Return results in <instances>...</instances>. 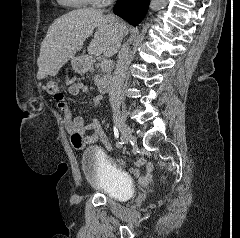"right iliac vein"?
<instances>
[{
	"mask_svg": "<svg viewBox=\"0 0 240 238\" xmlns=\"http://www.w3.org/2000/svg\"><path fill=\"white\" fill-rule=\"evenodd\" d=\"M117 126L119 128V131H120L124 141L128 142V141L133 140L132 130L125 122L118 121Z\"/></svg>",
	"mask_w": 240,
	"mask_h": 238,
	"instance_id": "right-iliac-vein-1",
	"label": "right iliac vein"
}]
</instances>
